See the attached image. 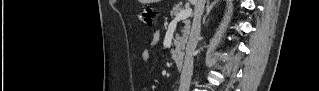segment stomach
Wrapping results in <instances>:
<instances>
[{
  "label": "stomach",
  "instance_id": "stomach-1",
  "mask_svg": "<svg viewBox=\"0 0 319 91\" xmlns=\"http://www.w3.org/2000/svg\"><path fill=\"white\" fill-rule=\"evenodd\" d=\"M145 2H152V1H154V0H144Z\"/></svg>",
  "mask_w": 319,
  "mask_h": 91
}]
</instances>
